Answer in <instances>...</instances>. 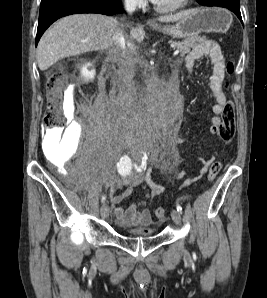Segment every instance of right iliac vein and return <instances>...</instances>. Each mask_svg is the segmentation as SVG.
Instances as JSON below:
<instances>
[{"instance_id":"right-iliac-vein-1","label":"right iliac vein","mask_w":267,"mask_h":298,"mask_svg":"<svg viewBox=\"0 0 267 298\" xmlns=\"http://www.w3.org/2000/svg\"><path fill=\"white\" fill-rule=\"evenodd\" d=\"M100 213L103 218H107L109 216V206L106 203L101 206Z\"/></svg>"}]
</instances>
